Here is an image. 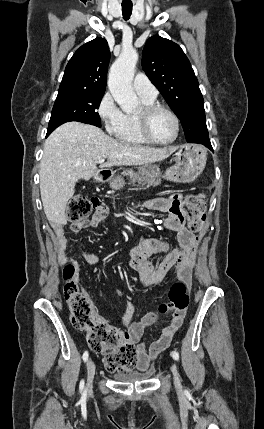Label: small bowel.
Here are the masks:
<instances>
[{
	"label": "small bowel",
	"instance_id": "c3829d8e",
	"mask_svg": "<svg viewBox=\"0 0 264 429\" xmlns=\"http://www.w3.org/2000/svg\"><path fill=\"white\" fill-rule=\"evenodd\" d=\"M183 196L175 193L169 197L152 198L146 200L143 206L150 210H157L167 213V217L159 218L158 224L172 231L177 232L178 246L167 252L163 261L156 265L152 262L151 257L157 252H166L167 243L155 238H143L137 249L132 251L129 265L138 271L141 282L146 287L159 285L168 272L175 270L178 278L182 279L187 285L191 283L189 269L194 264V254L198 243V238L188 228L185 227L184 216L181 211ZM106 214V208L101 206V210L88 220L75 221L69 226L71 232L78 233L87 228H95ZM55 244L58 251V257L62 261H72L67 254L69 239L61 227L55 229ZM82 257L90 265L99 263L100 258L97 254L82 251ZM142 255V260L138 259ZM79 274L76 275L75 281L79 282ZM120 295V292H118ZM134 308L132 304L127 303L121 316V323L128 327V334L134 343H138L136 348V361L134 367L139 371H146L149 364L157 356L167 349L172 341L176 331L181 327L184 320V313L174 312L161 336L150 343L148 346L140 342L145 329L154 324L158 315L154 312L146 314L140 321L132 322Z\"/></svg>",
	"mask_w": 264,
	"mask_h": 429
}]
</instances>
